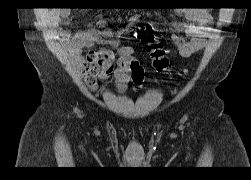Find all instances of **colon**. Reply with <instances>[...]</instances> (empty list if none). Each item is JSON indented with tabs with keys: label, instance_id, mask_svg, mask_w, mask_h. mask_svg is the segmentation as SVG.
I'll return each instance as SVG.
<instances>
[{
	"label": "colon",
	"instance_id": "1",
	"mask_svg": "<svg viewBox=\"0 0 251 180\" xmlns=\"http://www.w3.org/2000/svg\"><path fill=\"white\" fill-rule=\"evenodd\" d=\"M136 37L144 45L146 51L152 59V65L158 72H169V62L165 56L163 45L158 37L148 29L138 28Z\"/></svg>",
	"mask_w": 251,
	"mask_h": 180
}]
</instances>
